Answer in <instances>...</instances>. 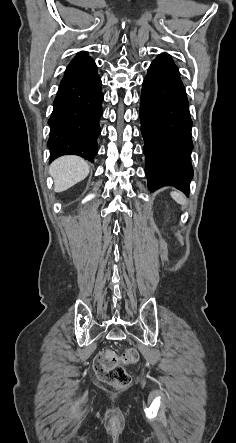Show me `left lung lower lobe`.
I'll return each instance as SVG.
<instances>
[{
    "label": "left lung lower lobe",
    "instance_id": "0a47b994",
    "mask_svg": "<svg viewBox=\"0 0 236 443\" xmlns=\"http://www.w3.org/2000/svg\"><path fill=\"white\" fill-rule=\"evenodd\" d=\"M140 120L149 190L170 185L188 196L192 120L179 70L166 53L152 62L144 79Z\"/></svg>",
    "mask_w": 236,
    "mask_h": 443
}]
</instances>
